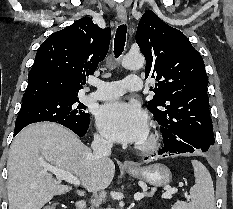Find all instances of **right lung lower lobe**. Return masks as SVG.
Returning <instances> with one entry per match:
<instances>
[{"mask_svg": "<svg viewBox=\"0 0 233 209\" xmlns=\"http://www.w3.org/2000/svg\"><path fill=\"white\" fill-rule=\"evenodd\" d=\"M88 127H89V123L86 126L81 127V128H69V129L74 131L79 137H83L86 134ZM22 129L23 128H15L14 136H16L19 133V131Z\"/></svg>", "mask_w": 233, "mask_h": 209, "instance_id": "1", "label": "right lung lower lobe"}]
</instances>
